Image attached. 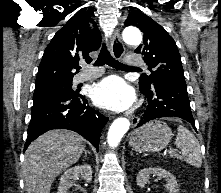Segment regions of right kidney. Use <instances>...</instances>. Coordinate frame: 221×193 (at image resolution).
<instances>
[{"mask_svg":"<svg viewBox=\"0 0 221 193\" xmlns=\"http://www.w3.org/2000/svg\"><path fill=\"white\" fill-rule=\"evenodd\" d=\"M81 175L86 182L92 180V169L88 164L78 165L64 172L60 178V184L57 193H67V190L73 186V181Z\"/></svg>","mask_w":221,"mask_h":193,"instance_id":"ca27d5eb","label":"right kidney"}]
</instances>
